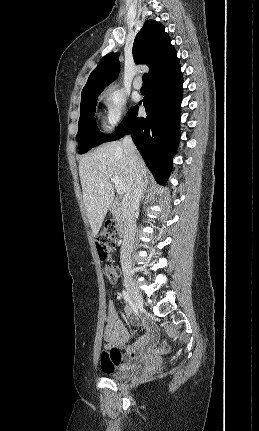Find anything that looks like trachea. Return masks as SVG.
<instances>
[{"label": "trachea", "mask_w": 259, "mask_h": 431, "mask_svg": "<svg viewBox=\"0 0 259 431\" xmlns=\"http://www.w3.org/2000/svg\"><path fill=\"white\" fill-rule=\"evenodd\" d=\"M142 79H143V84H148L149 75L147 73H145L143 75Z\"/></svg>", "instance_id": "obj_1"}]
</instances>
